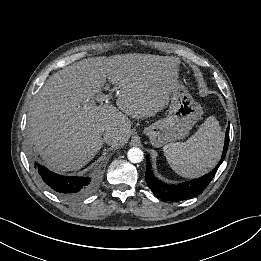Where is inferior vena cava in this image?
<instances>
[{
	"label": "inferior vena cava",
	"instance_id": "1",
	"mask_svg": "<svg viewBox=\"0 0 261 261\" xmlns=\"http://www.w3.org/2000/svg\"><path fill=\"white\" fill-rule=\"evenodd\" d=\"M114 137H115V134L112 133L111 131H106L105 134H104L105 142H109Z\"/></svg>",
	"mask_w": 261,
	"mask_h": 261
}]
</instances>
